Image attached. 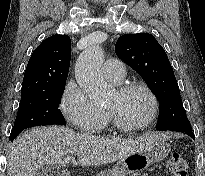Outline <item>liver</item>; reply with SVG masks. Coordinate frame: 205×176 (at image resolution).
<instances>
[{"mask_svg": "<svg viewBox=\"0 0 205 176\" xmlns=\"http://www.w3.org/2000/svg\"><path fill=\"white\" fill-rule=\"evenodd\" d=\"M165 140L160 133L136 139L96 137L65 127H36L19 135L9 153L7 176H36L45 164L64 166L63 158L77 154L79 165L98 166L149 149Z\"/></svg>", "mask_w": 205, "mask_h": 176, "instance_id": "obj_1", "label": "liver"}]
</instances>
